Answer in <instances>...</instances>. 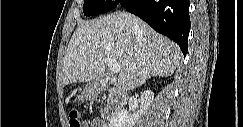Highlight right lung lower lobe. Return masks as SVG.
I'll use <instances>...</instances> for the list:
<instances>
[{
    "instance_id": "1",
    "label": "right lung lower lobe",
    "mask_w": 243,
    "mask_h": 127,
    "mask_svg": "<svg viewBox=\"0 0 243 127\" xmlns=\"http://www.w3.org/2000/svg\"><path fill=\"white\" fill-rule=\"evenodd\" d=\"M120 4L155 31L175 41L186 55L190 31L189 0H121Z\"/></svg>"
}]
</instances>
